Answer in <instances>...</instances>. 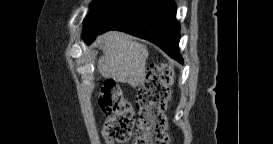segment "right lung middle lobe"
<instances>
[{
  "mask_svg": "<svg viewBox=\"0 0 273 144\" xmlns=\"http://www.w3.org/2000/svg\"><path fill=\"white\" fill-rule=\"evenodd\" d=\"M114 2L116 0H93L89 7L90 12L84 20L82 37L92 31L104 11Z\"/></svg>",
  "mask_w": 273,
  "mask_h": 144,
  "instance_id": "obj_1",
  "label": "right lung middle lobe"
}]
</instances>
